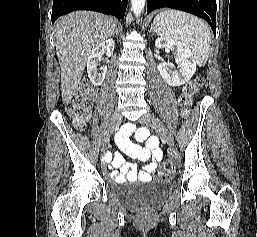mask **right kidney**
<instances>
[{"mask_svg": "<svg viewBox=\"0 0 257 237\" xmlns=\"http://www.w3.org/2000/svg\"><path fill=\"white\" fill-rule=\"evenodd\" d=\"M115 42L113 39H108L98 44L90 53L87 59V73L90 81L95 86H100L106 76L107 68L98 70V62L101 60L102 55L106 53L107 56L113 54Z\"/></svg>", "mask_w": 257, "mask_h": 237, "instance_id": "ca27d5eb", "label": "right kidney"}]
</instances>
